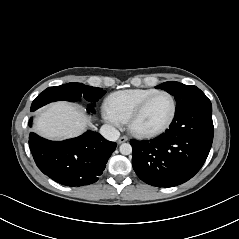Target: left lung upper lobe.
<instances>
[{
	"label": "left lung upper lobe",
	"mask_w": 239,
	"mask_h": 239,
	"mask_svg": "<svg viewBox=\"0 0 239 239\" xmlns=\"http://www.w3.org/2000/svg\"><path fill=\"white\" fill-rule=\"evenodd\" d=\"M156 88L163 89L175 97L176 112L197 103L210 101L199 88L193 85L170 81L160 84Z\"/></svg>",
	"instance_id": "1"
}]
</instances>
